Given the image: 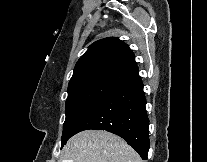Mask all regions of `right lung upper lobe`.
I'll return each instance as SVG.
<instances>
[{"label": "right lung upper lobe", "instance_id": "cb5924a9", "mask_svg": "<svg viewBox=\"0 0 207 162\" xmlns=\"http://www.w3.org/2000/svg\"><path fill=\"white\" fill-rule=\"evenodd\" d=\"M137 74L135 57L128 45L108 37L91 44L78 60L68 91L93 85L117 87Z\"/></svg>", "mask_w": 207, "mask_h": 162}]
</instances>
